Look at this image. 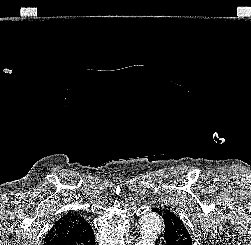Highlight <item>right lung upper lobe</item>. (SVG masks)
I'll list each match as a JSON object with an SVG mask.
<instances>
[{"instance_id":"right-lung-upper-lobe-1","label":"right lung upper lobe","mask_w":251,"mask_h":245,"mask_svg":"<svg viewBox=\"0 0 251 245\" xmlns=\"http://www.w3.org/2000/svg\"><path fill=\"white\" fill-rule=\"evenodd\" d=\"M90 229L91 226L80 215L68 213L54 223L44 242L64 237L79 236Z\"/></svg>"}]
</instances>
